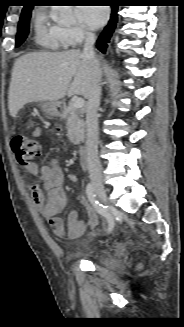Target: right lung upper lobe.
Masks as SVG:
<instances>
[{
    "instance_id": "obj_1",
    "label": "right lung upper lobe",
    "mask_w": 184,
    "mask_h": 327,
    "mask_svg": "<svg viewBox=\"0 0 184 327\" xmlns=\"http://www.w3.org/2000/svg\"><path fill=\"white\" fill-rule=\"evenodd\" d=\"M32 8H33V6L25 5L24 8H23V10H22V13H23V12H26V11L32 9Z\"/></svg>"
}]
</instances>
